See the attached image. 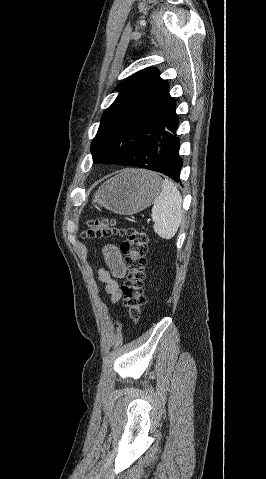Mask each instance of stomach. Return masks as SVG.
<instances>
[{
	"label": "stomach",
	"mask_w": 266,
	"mask_h": 479,
	"mask_svg": "<svg viewBox=\"0 0 266 479\" xmlns=\"http://www.w3.org/2000/svg\"><path fill=\"white\" fill-rule=\"evenodd\" d=\"M161 189L162 180L156 173L130 169L107 180L93 202L117 214L131 215L150 206Z\"/></svg>",
	"instance_id": "0dacf381"
}]
</instances>
